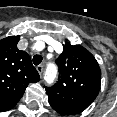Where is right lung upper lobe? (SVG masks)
Instances as JSON below:
<instances>
[{
  "label": "right lung upper lobe",
  "mask_w": 117,
  "mask_h": 117,
  "mask_svg": "<svg viewBox=\"0 0 117 117\" xmlns=\"http://www.w3.org/2000/svg\"><path fill=\"white\" fill-rule=\"evenodd\" d=\"M20 36L0 40V112L12 109L31 82L40 76L30 56L17 48Z\"/></svg>",
  "instance_id": "obj_1"
}]
</instances>
